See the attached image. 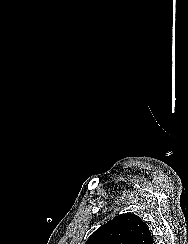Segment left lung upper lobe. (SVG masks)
<instances>
[{
  "mask_svg": "<svg viewBox=\"0 0 188 244\" xmlns=\"http://www.w3.org/2000/svg\"><path fill=\"white\" fill-rule=\"evenodd\" d=\"M85 244H153V236L139 216L127 213L99 227Z\"/></svg>",
  "mask_w": 188,
  "mask_h": 244,
  "instance_id": "5c2ea615",
  "label": "left lung upper lobe"
}]
</instances>
